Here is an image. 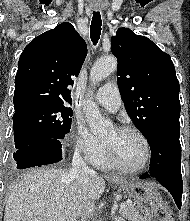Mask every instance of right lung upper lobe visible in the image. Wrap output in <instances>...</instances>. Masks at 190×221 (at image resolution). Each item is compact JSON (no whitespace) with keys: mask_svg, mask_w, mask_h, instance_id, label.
<instances>
[{"mask_svg":"<svg viewBox=\"0 0 190 221\" xmlns=\"http://www.w3.org/2000/svg\"><path fill=\"white\" fill-rule=\"evenodd\" d=\"M87 55L84 39L64 22L34 38L22 52L15 77V113L37 105L71 102V90Z\"/></svg>","mask_w":190,"mask_h":221,"instance_id":"obj_1","label":"right lung upper lobe"}]
</instances>
